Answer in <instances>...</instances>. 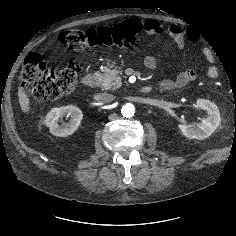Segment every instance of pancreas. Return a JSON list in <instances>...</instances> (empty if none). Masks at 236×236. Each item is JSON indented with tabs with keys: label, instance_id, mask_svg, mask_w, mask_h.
Returning <instances> with one entry per match:
<instances>
[{
	"label": "pancreas",
	"instance_id": "1",
	"mask_svg": "<svg viewBox=\"0 0 236 236\" xmlns=\"http://www.w3.org/2000/svg\"><path fill=\"white\" fill-rule=\"evenodd\" d=\"M122 72L119 69L104 68L102 73L98 74V85L104 90H115L121 87L122 82L119 74Z\"/></svg>",
	"mask_w": 236,
	"mask_h": 236
}]
</instances>
